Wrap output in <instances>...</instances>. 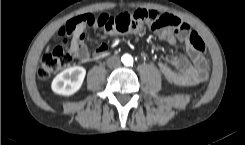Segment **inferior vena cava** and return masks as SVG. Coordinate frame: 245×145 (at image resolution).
I'll list each match as a JSON object with an SVG mask.
<instances>
[{
  "instance_id": "1",
  "label": "inferior vena cava",
  "mask_w": 245,
  "mask_h": 145,
  "mask_svg": "<svg viewBox=\"0 0 245 145\" xmlns=\"http://www.w3.org/2000/svg\"><path fill=\"white\" fill-rule=\"evenodd\" d=\"M107 65L110 68H115L120 65V58L118 56H112L108 58Z\"/></svg>"
}]
</instances>
